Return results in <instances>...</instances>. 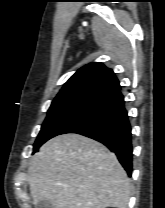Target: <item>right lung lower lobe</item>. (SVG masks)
Returning <instances> with one entry per match:
<instances>
[{
  "instance_id": "obj_1",
  "label": "right lung lower lobe",
  "mask_w": 165,
  "mask_h": 208,
  "mask_svg": "<svg viewBox=\"0 0 165 208\" xmlns=\"http://www.w3.org/2000/svg\"><path fill=\"white\" fill-rule=\"evenodd\" d=\"M124 103L123 95L117 93L95 105L87 115L61 134L77 133L103 143L117 155L131 177L132 134Z\"/></svg>"
}]
</instances>
